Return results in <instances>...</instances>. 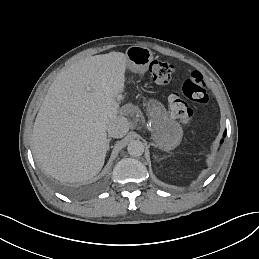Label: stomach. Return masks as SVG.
Segmentation results:
<instances>
[{"instance_id":"0dacf381","label":"stomach","mask_w":259,"mask_h":259,"mask_svg":"<svg viewBox=\"0 0 259 259\" xmlns=\"http://www.w3.org/2000/svg\"><path fill=\"white\" fill-rule=\"evenodd\" d=\"M126 55L129 63L135 71L147 69L153 60L152 51L143 46H131L127 49Z\"/></svg>"}]
</instances>
